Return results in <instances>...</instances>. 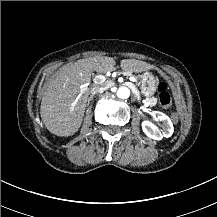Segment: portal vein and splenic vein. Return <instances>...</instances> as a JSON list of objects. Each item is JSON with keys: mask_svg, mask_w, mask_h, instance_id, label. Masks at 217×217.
<instances>
[{"mask_svg": "<svg viewBox=\"0 0 217 217\" xmlns=\"http://www.w3.org/2000/svg\"><path fill=\"white\" fill-rule=\"evenodd\" d=\"M129 80H130V79H129ZM79 97H80V95L78 96V98H79ZM78 98H77V99H78ZM77 99H76V101H77Z\"/></svg>", "mask_w": 217, "mask_h": 217, "instance_id": "obj_1", "label": "portal vein and splenic vein"}]
</instances>
